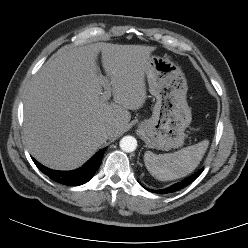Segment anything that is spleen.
Instances as JSON below:
<instances>
[{"mask_svg": "<svg viewBox=\"0 0 248 248\" xmlns=\"http://www.w3.org/2000/svg\"><path fill=\"white\" fill-rule=\"evenodd\" d=\"M209 145L203 140L174 153L156 155L146 151L144 161L150 174L160 181H170L185 177L200 164Z\"/></svg>", "mask_w": 248, "mask_h": 248, "instance_id": "spleen-1", "label": "spleen"}]
</instances>
